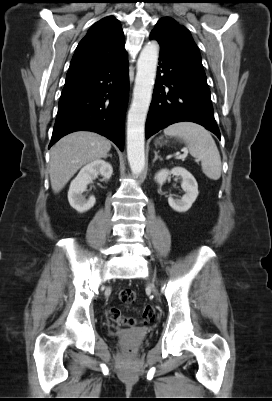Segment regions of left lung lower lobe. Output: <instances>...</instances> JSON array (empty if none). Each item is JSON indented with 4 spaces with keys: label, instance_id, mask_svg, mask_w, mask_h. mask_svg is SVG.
<instances>
[{
    "label": "left lung lower lobe",
    "instance_id": "1",
    "mask_svg": "<svg viewBox=\"0 0 272 401\" xmlns=\"http://www.w3.org/2000/svg\"><path fill=\"white\" fill-rule=\"evenodd\" d=\"M182 121L198 123L220 139L203 66L160 46L146 138Z\"/></svg>",
    "mask_w": 272,
    "mask_h": 401
}]
</instances>
